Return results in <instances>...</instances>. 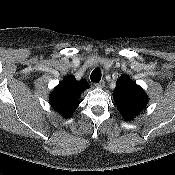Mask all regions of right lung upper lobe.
<instances>
[{"instance_id": "obj_1", "label": "right lung upper lobe", "mask_w": 175, "mask_h": 175, "mask_svg": "<svg viewBox=\"0 0 175 175\" xmlns=\"http://www.w3.org/2000/svg\"><path fill=\"white\" fill-rule=\"evenodd\" d=\"M88 88L85 80L77 81L67 76L50 94L51 106L65 118H69L80 104L81 93Z\"/></svg>"}]
</instances>
